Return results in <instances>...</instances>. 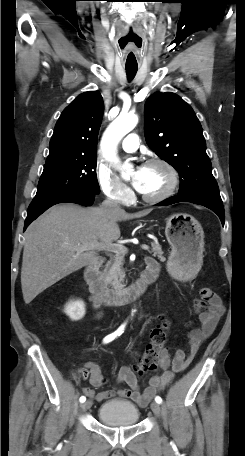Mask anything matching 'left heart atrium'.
<instances>
[{
    "label": "left heart atrium",
    "mask_w": 245,
    "mask_h": 456,
    "mask_svg": "<svg viewBox=\"0 0 245 456\" xmlns=\"http://www.w3.org/2000/svg\"><path fill=\"white\" fill-rule=\"evenodd\" d=\"M141 170H142V168H138L136 170L134 178H133V186L137 190H140V188H141Z\"/></svg>",
    "instance_id": "obj_1"
}]
</instances>
